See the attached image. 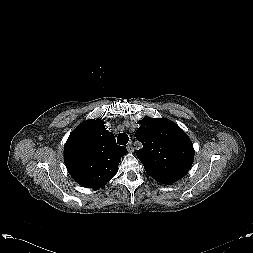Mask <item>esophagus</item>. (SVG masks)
<instances>
[{"label": "esophagus", "mask_w": 253, "mask_h": 253, "mask_svg": "<svg viewBox=\"0 0 253 253\" xmlns=\"http://www.w3.org/2000/svg\"><path fill=\"white\" fill-rule=\"evenodd\" d=\"M126 148H127V151H128L129 153H132V152L134 151V147L132 146L131 143L128 144Z\"/></svg>", "instance_id": "1"}]
</instances>
